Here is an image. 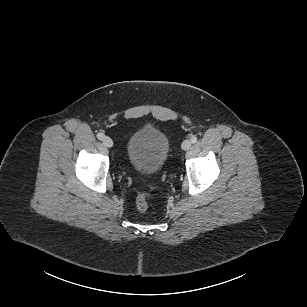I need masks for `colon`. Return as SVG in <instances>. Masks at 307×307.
<instances>
[{"label":"colon","mask_w":307,"mask_h":307,"mask_svg":"<svg viewBox=\"0 0 307 307\" xmlns=\"http://www.w3.org/2000/svg\"><path fill=\"white\" fill-rule=\"evenodd\" d=\"M149 205V194H139L135 200V207L139 212H145Z\"/></svg>","instance_id":"colon-1"}]
</instances>
